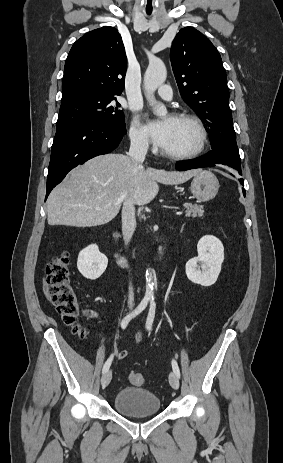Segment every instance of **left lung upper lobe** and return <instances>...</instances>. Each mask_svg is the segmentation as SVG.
<instances>
[{
	"label": "left lung upper lobe",
	"instance_id": "5c2ea615",
	"mask_svg": "<svg viewBox=\"0 0 283 463\" xmlns=\"http://www.w3.org/2000/svg\"><path fill=\"white\" fill-rule=\"evenodd\" d=\"M170 59L182 98L203 120L212 150L240 159L229 108L226 72L210 40L193 27L176 35Z\"/></svg>",
	"mask_w": 283,
	"mask_h": 463
}]
</instances>
